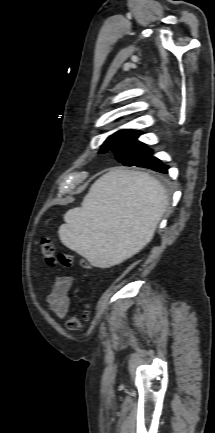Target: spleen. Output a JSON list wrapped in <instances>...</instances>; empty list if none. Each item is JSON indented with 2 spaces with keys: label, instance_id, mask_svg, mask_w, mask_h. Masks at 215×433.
<instances>
[{
  "label": "spleen",
  "instance_id": "3e777b00",
  "mask_svg": "<svg viewBox=\"0 0 215 433\" xmlns=\"http://www.w3.org/2000/svg\"><path fill=\"white\" fill-rule=\"evenodd\" d=\"M167 203L155 178L115 168L93 184L81 207L66 212L59 237L93 266L110 267L150 242Z\"/></svg>",
  "mask_w": 215,
  "mask_h": 433
}]
</instances>
